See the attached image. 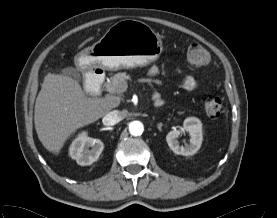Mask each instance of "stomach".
<instances>
[{"mask_svg": "<svg viewBox=\"0 0 277 218\" xmlns=\"http://www.w3.org/2000/svg\"><path fill=\"white\" fill-rule=\"evenodd\" d=\"M163 50L160 36L146 23L125 19L112 25L103 37L75 57L84 70H119L156 61Z\"/></svg>", "mask_w": 277, "mask_h": 218, "instance_id": "0dacf381", "label": "stomach"}]
</instances>
